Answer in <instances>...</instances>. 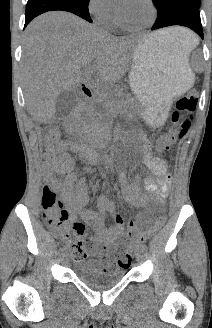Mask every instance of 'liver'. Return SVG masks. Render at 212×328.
Returning <instances> with one entry per match:
<instances>
[{
    "instance_id": "liver-1",
    "label": "liver",
    "mask_w": 212,
    "mask_h": 328,
    "mask_svg": "<svg viewBox=\"0 0 212 328\" xmlns=\"http://www.w3.org/2000/svg\"><path fill=\"white\" fill-rule=\"evenodd\" d=\"M183 29L159 30L149 36L181 47ZM148 37V36H147ZM132 37H116L76 15L63 11L44 13L26 28L22 80L26 108L37 123L56 118V100L62 91L75 92L85 80L81 69L92 66L90 86L102 91L127 72Z\"/></svg>"
}]
</instances>
